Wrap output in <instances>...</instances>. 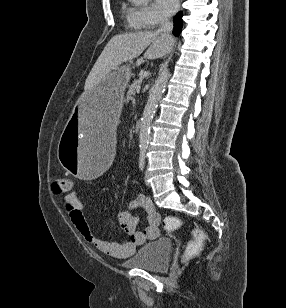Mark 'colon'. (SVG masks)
Here are the masks:
<instances>
[{"mask_svg": "<svg viewBox=\"0 0 286 308\" xmlns=\"http://www.w3.org/2000/svg\"><path fill=\"white\" fill-rule=\"evenodd\" d=\"M73 181L67 176H59L52 181V191L56 195L70 194L73 191ZM181 225L179 219L171 217L166 222L167 228L173 229ZM206 237L200 230L194 232V239L186 249V257L195 255L204 243Z\"/></svg>", "mask_w": 286, "mask_h": 308, "instance_id": "obj_1", "label": "colon"}]
</instances>
